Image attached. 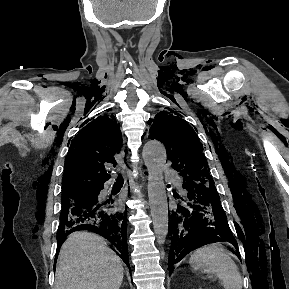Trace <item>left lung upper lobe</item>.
I'll return each mask as SVG.
<instances>
[{
	"label": "left lung upper lobe",
	"mask_w": 289,
	"mask_h": 289,
	"mask_svg": "<svg viewBox=\"0 0 289 289\" xmlns=\"http://www.w3.org/2000/svg\"><path fill=\"white\" fill-rule=\"evenodd\" d=\"M171 113L163 111L156 115L149 138L157 139L165 145L167 158L172 161V167L179 172L184 182L214 186L207 160L202 153L203 146L195 131L186 121Z\"/></svg>",
	"instance_id": "5c2ea615"
}]
</instances>
